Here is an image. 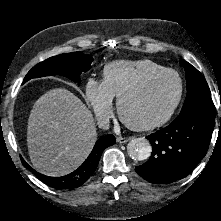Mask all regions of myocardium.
<instances>
[{
    "instance_id": "obj_1",
    "label": "myocardium",
    "mask_w": 221,
    "mask_h": 221,
    "mask_svg": "<svg viewBox=\"0 0 221 221\" xmlns=\"http://www.w3.org/2000/svg\"><path fill=\"white\" fill-rule=\"evenodd\" d=\"M167 74L174 75L177 78L178 85H179L177 96H176L174 102L172 103L171 107L169 108V110L164 115L159 117L158 119L150 121V122H146V123L131 122L124 114L125 102L128 99H130L131 97H133L136 94L143 91L153 80H155L161 76L167 75ZM183 93H184V83H183V79L180 76V74L176 70L165 68V69H162V70H159V71H156V72H153V73L147 75L142 80H140L138 83H136L135 85H133L132 87H130L129 89L124 91L118 98L117 112H118V115H119L120 119L122 120V122L130 129H132L134 131L153 130V129L163 126L171 119V117L174 115L178 106L181 103Z\"/></svg>"
}]
</instances>
